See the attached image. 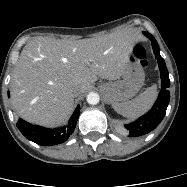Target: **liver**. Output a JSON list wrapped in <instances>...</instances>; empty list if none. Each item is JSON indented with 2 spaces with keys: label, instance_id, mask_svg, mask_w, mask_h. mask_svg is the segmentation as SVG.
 Wrapping results in <instances>:
<instances>
[{
  "label": "liver",
  "instance_id": "1",
  "mask_svg": "<svg viewBox=\"0 0 187 187\" xmlns=\"http://www.w3.org/2000/svg\"><path fill=\"white\" fill-rule=\"evenodd\" d=\"M136 38L132 31H120L82 40L32 39L20 53L12 76L14 109L34 124H64L74 108L71 91L78 90L79 96L99 77L119 79Z\"/></svg>",
  "mask_w": 187,
  "mask_h": 187
}]
</instances>
